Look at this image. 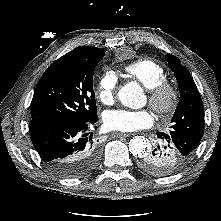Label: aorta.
Wrapping results in <instances>:
<instances>
[{"label":"aorta","mask_w":221,"mask_h":221,"mask_svg":"<svg viewBox=\"0 0 221 221\" xmlns=\"http://www.w3.org/2000/svg\"><path fill=\"white\" fill-rule=\"evenodd\" d=\"M117 95L120 102L130 108H140L144 102L142 89L136 83L124 85ZM129 150L133 155L141 157L151 150V145L143 136H135L129 142Z\"/></svg>","instance_id":"762f6f07"}]
</instances>
